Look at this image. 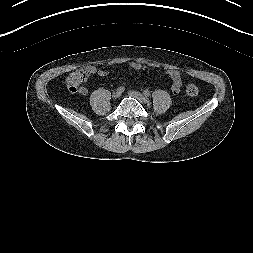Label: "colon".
<instances>
[{"label": "colon", "instance_id": "colon-1", "mask_svg": "<svg viewBox=\"0 0 253 253\" xmlns=\"http://www.w3.org/2000/svg\"><path fill=\"white\" fill-rule=\"evenodd\" d=\"M91 71L88 67H81L73 72L67 80L68 89L71 92H79L82 84L89 78ZM186 93L190 97H195L199 93V89L195 84H188L186 86Z\"/></svg>", "mask_w": 253, "mask_h": 253}]
</instances>
